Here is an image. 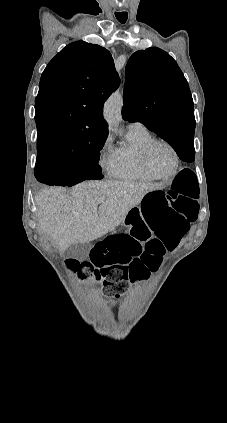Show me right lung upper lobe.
I'll list each match as a JSON object with an SVG mask.
<instances>
[{"instance_id": "obj_1", "label": "right lung upper lobe", "mask_w": 227, "mask_h": 423, "mask_svg": "<svg viewBox=\"0 0 227 423\" xmlns=\"http://www.w3.org/2000/svg\"><path fill=\"white\" fill-rule=\"evenodd\" d=\"M119 83L105 48L84 41L63 48L41 76L35 99L37 145L108 134L103 104Z\"/></svg>"}]
</instances>
